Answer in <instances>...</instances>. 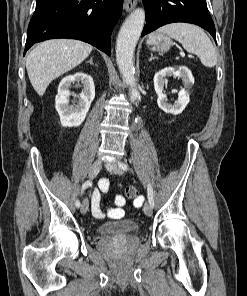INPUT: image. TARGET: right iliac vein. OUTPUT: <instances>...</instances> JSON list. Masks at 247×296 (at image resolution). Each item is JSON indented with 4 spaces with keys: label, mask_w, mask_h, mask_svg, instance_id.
<instances>
[{
    "label": "right iliac vein",
    "mask_w": 247,
    "mask_h": 296,
    "mask_svg": "<svg viewBox=\"0 0 247 296\" xmlns=\"http://www.w3.org/2000/svg\"><path fill=\"white\" fill-rule=\"evenodd\" d=\"M101 161L100 160H97L95 161L91 167H90V170H89V178L90 179H93L97 176V174L99 173L100 169H101ZM88 208H89V203L88 201L85 199L83 202H82V205H81V213L82 214H85L87 211H88Z\"/></svg>",
    "instance_id": "obj_1"
}]
</instances>
